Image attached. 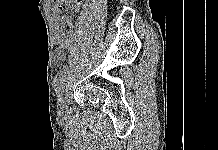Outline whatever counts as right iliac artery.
Segmentation results:
<instances>
[{"label": "right iliac artery", "instance_id": "82829eb1", "mask_svg": "<svg viewBox=\"0 0 218 150\" xmlns=\"http://www.w3.org/2000/svg\"><path fill=\"white\" fill-rule=\"evenodd\" d=\"M67 73H68V66H64V68L60 74V77L58 79L57 87H56V92L58 94L57 95L58 97H60V93L63 91Z\"/></svg>", "mask_w": 218, "mask_h": 150}]
</instances>
